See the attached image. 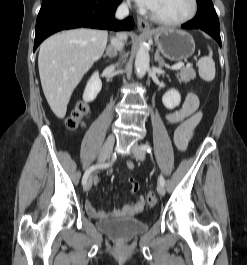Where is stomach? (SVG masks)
Returning a JSON list of instances; mask_svg holds the SVG:
<instances>
[{"mask_svg": "<svg viewBox=\"0 0 247 265\" xmlns=\"http://www.w3.org/2000/svg\"><path fill=\"white\" fill-rule=\"evenodd\" d=\"M155 44L162 55L171 61L186 60L195 51L193 37L186 31L161 27L151 31Z\"/></svg>", "mask_w": 247, "mask_h": 265, "instance_id": "stomach-1", "label": "stomach"}]
</instances>
